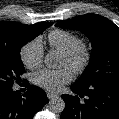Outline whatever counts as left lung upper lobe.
I'll return each mask as SVG.
<instances>
[{
	"mask_svg": "<svg viewBox=\"0 0 119 119\" xmlns=\"http://www.w3.org/2000/svg\"><path fill=\"white\" fill-rule=\"evenodd\" d=\"M56 26L80 30L93 47L90 62L79 80V87L95 84L119 85V27L105 17L85 14L59 21Z\"/></svg>",
	"mask_w": 119,
	"mask_h": 119,
	"instance_id": "1",
	"label": "left lung upper lobe"
}]
</instances>
